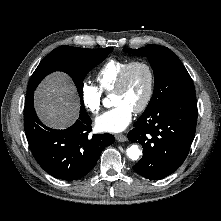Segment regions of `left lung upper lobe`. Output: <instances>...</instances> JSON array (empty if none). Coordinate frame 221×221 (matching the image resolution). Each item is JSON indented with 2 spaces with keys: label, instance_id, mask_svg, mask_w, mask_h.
I'll return each mask as SVG.
<instances>
[{
  "label": "left lung upper lobe",
  "instance_id": "left-lung-upper-lobe-1",
  "mask_svg": "<svg viewBox=\"0 0 221 221\" xmlns=\"http://www.w3.org/2000/svg\"><path fill=\"white\" fill-rule=\"evenodd\" d=\"M124 52L147 57L154 71V92L143 114L155 105L173 98L193 95V81L180 59L167 47L147 46L124 49Z\"/></svg>",
  "mask_w": 221,
  "mask_h": 221
}]
</instances>
